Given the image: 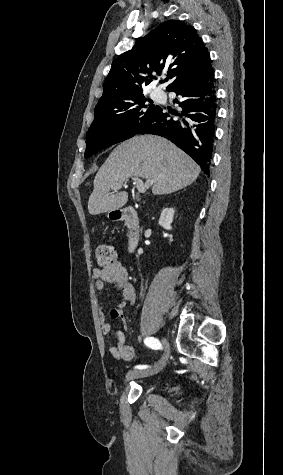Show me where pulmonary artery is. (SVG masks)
<instances>
[{"mask_svg":"<svg viewBox=\"0 0 283 475\" xmlns=\"http://www.w3.org/2000/svg\"><path fill=\"white\" fill-rule=\"evenodd\" d=\"M154 92L157 94L159 91L156 89Z\"/></svg>","mask_w":283,"mask_h":475,"instance_id":"pulmonary-artery-1","label":"pulmonary artery"}]
</instances>
